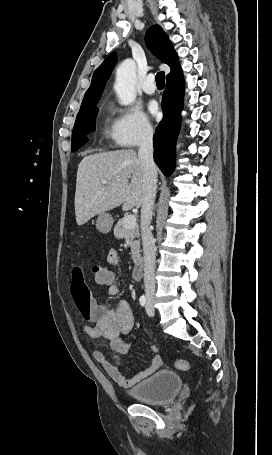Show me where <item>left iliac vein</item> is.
Listing matches in <instances>:
<instances>
[{
    "label": "left iliac vein",
    "instance_id": "1",
    "mask_svg": "<svg viewBox=\"0 0 272 455\" xmlns=\"http://www.w3.org/2000/svg\"><path fill=\"white\" fill-rule=\"evenodd\" d=\"M146 312L150 317L154 316V313H155L154 307L150 302L147 303Z\"/></svg>",
    "mask_w": 272,
    "mask_h": 455
}]
</instances>
